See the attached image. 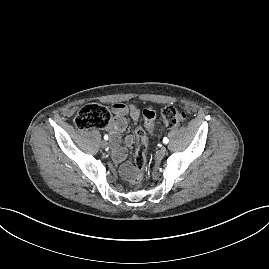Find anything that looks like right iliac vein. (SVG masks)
I'll return each instance as SVG.
<instances>
[{
    "mask_svg": "<svg viewBox=\"0 0 269 269\" xmlns=\"http://www.w3.org/2000/svg\"><path fill=\"white\" fill-rule=\"evenodd\" d=\"M107 146H108V142L105 141V140H103V141L101 142V147L106 148Z\"/></svg>",
    "mask_w": 269,
    "mask_h": 269,
    "instance_id": "obj_1",
    "label": "right iliac vein"
}]
</instances>
